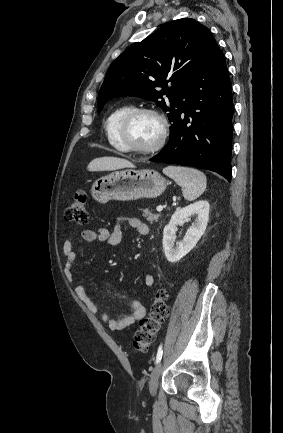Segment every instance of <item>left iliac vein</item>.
I'll list each match as a JSON object with an SVG mask.
<instances>
[{
	"mask_svg": "<svg viewBox=\"0 0 283 433\" xmlns=\"http://www.w3.org/2000/svg\"><path fill=\"white\" fill-rule=\"evenodd\" d=\"M161 372H162V364L158 363L150 375L149 390H150L151 394H154L156 392L157 385H158V379H159Z\"/></svg>",
	"mask_w": 283,
	"mask_h": 433,
	"instance_id": "4c4485c4",
	"label": "left iliac vein"
}]
</instances>
